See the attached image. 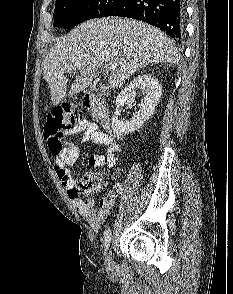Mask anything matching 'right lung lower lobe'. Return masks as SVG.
I'll return each mask as SVG.
<instances>
[{"instance_id":"98d812e1","label":"right lung lower lobe","mask_w":233,"mask_h":294,"mask_svg":"<svg viewBox=\"0 0 233 294\" xmlns=\"http://www.w3.org/2000/svg\"><path fill=\"white\" fill-rule=\"evenodd\" d=\"M108 16L130 17L145 21L181 43L183 0H122Z\"/></svg>"}]
</instances>
